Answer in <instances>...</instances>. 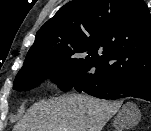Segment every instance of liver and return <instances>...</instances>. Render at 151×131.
Returning a JSON list of instances; mask_svg holds the SVG:
<instances>
[{
  "label": "liver",
  "instance_id": "liver-1",
  "mask_svg": "<svg viewBox=\"0 0 151 131\" xmlns=\"http://www.w3.org/2000/svg\"><path fill=\"white\" fill-rule=\"evenodd\" d=\"M119 107L88 95L60 96L33 104L13 131H102Z\"/></svg>",
  "mask_w": 151,
  "mask_h": 131
}]
</instances>
